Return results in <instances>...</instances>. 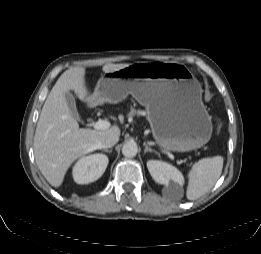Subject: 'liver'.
Here are the masks:
<instances>
[{
  "label": "liver",
  "mask_w": 261,
  "mask_h": 254,
  "mask_svg": "<svg viewBox=\"0 0 261 254\" xmlns=\"http://www.w3.org/2000/svg\"><path fill=\"white\" fill-rule=\"evenodd\" d=\"M129 64H105L103 72L109 73ZM84 67H72L57 80L42 107L34 136L36 164L53 187H59L68 168L79 157L101 149L99 141L106 135H120L117 125L105 130L79 128L77 120L70 114L65 93L74 91L81 101H92L85 82Z\"/></svg>",
  "instance_id": "liver-1"
}]
</instances>
